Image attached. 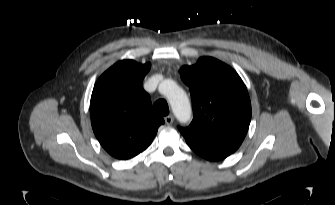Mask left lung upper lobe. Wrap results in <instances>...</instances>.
Segmentation results:
<instances>
[{"mask_svg": "<svg viewBox=\"0 0 335 205\" xmlns=\"http://www.w3.org/2000/svg\"><path fill=\"white\" fill-rule=\"evenodd\" d=\"M190 88L194 117L179 128L186 142L201 148L234 153L244 140L251 121L250 98L240 76L225 63L201 57L180 69Z\"/></svg>", "mask_w": 335, "mask_h": 205, "instance_id": "obj_1", "label": "left lung upper lobe"}]
</instances>
